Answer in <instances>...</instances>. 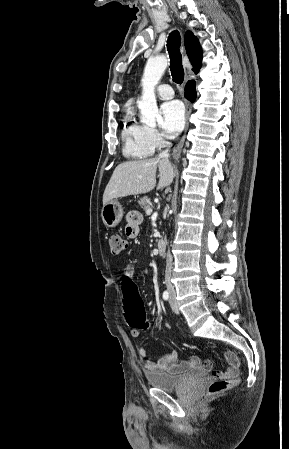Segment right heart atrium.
Here are the masks:
<instances>
[{
	"instance_id": "obj_1",
	"label": "right heart atrium",
	"mask_w": 289,
	"mask_h": 449,
	"mask_svg": "<svg viewBox=\"0 0 289 449\" xmlns=\"http://www.w3.org/2000/svg\"><path fill=\"white\" fill-rule=\"evenodd\" d=\"M144 135L147 143L152 148V150L158 148L164 142L162 135L154 128L145 127Z\"/></svg>"
}]
</instances>
